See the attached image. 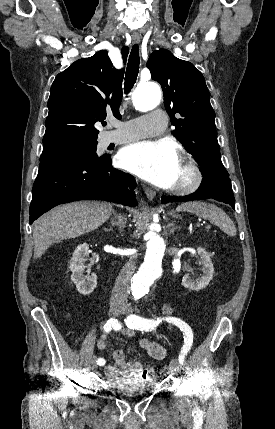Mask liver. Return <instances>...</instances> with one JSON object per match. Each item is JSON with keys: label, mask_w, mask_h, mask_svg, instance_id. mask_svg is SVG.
<instances>
[{"label": "liver", "mask_w": 275, "mask_h": 429, "mask_svg": "<svg viewBox=\"0 0 275 429\" xmlns=\"http://www.w3.org/2000/svg\"><path fill=\"white\" fill-rule=\"evenodd\" d=\"M112 212V205L106 202H75L52 209L34 223V258L41 257L58 240L97 229Z\"/></svg>", "instance_id": "1"}]
</instances>
